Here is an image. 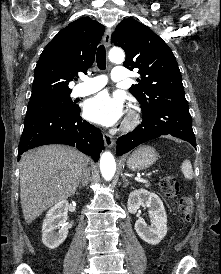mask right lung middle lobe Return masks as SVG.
Here are the masks:
<instances>
[{
    "instance_id": "dd1d6c3e",
    "label": "right lung middle lobe",
    "mask_w": 221,
    "mask_h": 274,
    "mask_svg": "<svg viewBox=\"0 0 221 274\" xmlns=\"http://www.w3.org/2000/svg\"><path fill=\"white\" fill-rule=\"evenodd\" d=\"M56 109L77 110L78 105L70 98V93L30 100L26 116Z\"/></svg>"
}]
</instances>
